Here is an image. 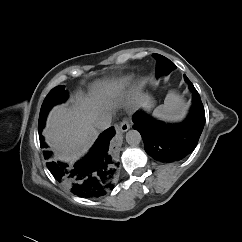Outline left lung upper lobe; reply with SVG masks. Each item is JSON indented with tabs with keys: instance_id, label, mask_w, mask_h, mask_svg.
Instances as JSON below:
<instances>
[{
	"instance_id": "1",
	"label": "left lung upper lobe",
	"mask_w": 242,
	"mask_h": 242,
	"mask_svg": "<svg viewBox=\"0 0 242 242\" xmlns=\"http://www.w3.org/2000/svg\"><path fill=\"white\" fill-rule=\"evenodd\" d=\"M155 59L157 60L156 64V76L159 77L162 74H168L171 72L176 66L169 59L165 58L160 54H153Z\"/></svg>"
}]
</instances>
